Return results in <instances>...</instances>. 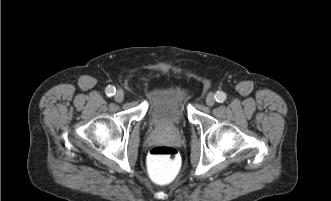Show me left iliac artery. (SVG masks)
Listing matches in <instances>:
<instances>
[{"label":"left iliac artery","mask_w":331,"mask_h":201,"mask_svg":"<svg viewBox=\"0 0 331 201\" xmlns=\"http://www.w3.org/2000/svg\"><path fill=\"white\" fill-rule=\"evenodd\" d=\"M215 99H216L217 102L222 103L226 100V94L222 91H218L215 94Z\"/></svg>","instance_id":"44dca946"}]
</instances>
